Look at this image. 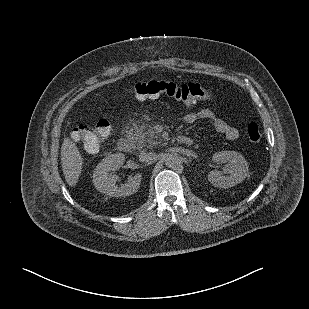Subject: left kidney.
<instances>
[{"mask_svg":"<svg viewBox=\"0 0 309 309\" xmlns=\"http://www.w3.org/2000/svg\"><path fill=\"white\" fill-rule=\"evenodd\" d=\"M213 161L225 164L223 172L216 170L208 175V180L214 187L231 188L244 181L249 174L246 159L236 151L217 152L213 155Z\"/></svg>","mask_w":309,"mask_h":309,"instance_id":"5707ae66","label":"left kidney"}]
</instances>
